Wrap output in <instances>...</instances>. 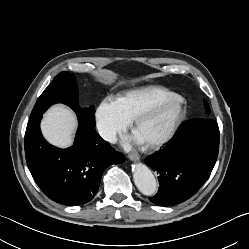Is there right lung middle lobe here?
<instances>
[{
    "instance_id": "obj_1",
    "label": "right lung middle lobe",
    "mask_w": 249,
    "mask_h": 249,
    "mask_svg": "<svg viewBox=\"0 0 249 249\" xmlns=\"http://www.w3.org/2000/svg\"><path fill=\"white\" fill-rule=\"evenodd\" d=\"M55 103H64L70 106L78 118L86 124L95 126L94 106L80 108L78 106L77 86L74 75L69 72L59 73L52 83L44 90L38 98L30 118L44 113L48 107Z\"/></svg>"
}]
</instances>
